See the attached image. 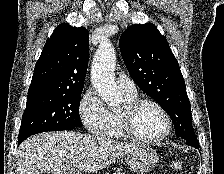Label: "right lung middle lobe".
Wrapping results in <instances>:
<instances>
[{
	"label": "right lung middle lobe",
	"instance_id": "dd1d6c3e",
	"mask_svg": "<svg viewBox=\"0 0 224 174\" xmlns=\"http://www.w3.org/2000/svg\"><path fill=\"white\" fill-rule=\"evenodd\" d=\"M82 91L28 95L19 138L46 131L81 127L79 105Z\"/></svg>",
	"mask_w": 224,
	"mask_h": 174
}]
</instances>
